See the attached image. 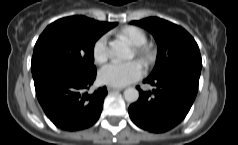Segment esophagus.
<instances>
[{"mask_svg": "<svg viewBox=\"0 0 238 145\" xmlns=\"http://www.w3.org/2000/svg\"><path fill=\"white\" fill-rule=\"evenodd\" d=\"M123 87H108V91H122Z\"/></svg>", "mask_w": 238, "mask_h": 145, "instance_id": "1", "label": "esophagus"}]
</instances>
